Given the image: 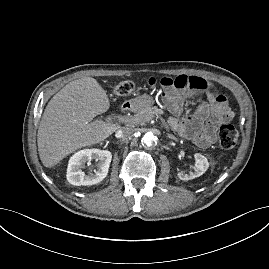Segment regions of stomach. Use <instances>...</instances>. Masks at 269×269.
Wrapping results in <instances>:
<instances>
[{
  "label": "stomach",
  "mask_w": 269,
  "mask_h": 269,
  "mask_svg": "<svg viewBox=\"0 0 269 269\" xmlns=\"http://www.w3.org/2000/svg\"><path fill=\"white\" fill-rule=\"evenodd\" d=\"M133 102L136 103L140 108L149 107L154 103L153 98L148 95L142 96Z\"/></svg>",
  "instance_id": "1"
}]
</instances>
